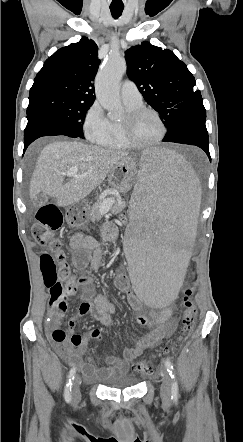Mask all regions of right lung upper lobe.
I'll return each instance as SVG.
<instances>
[{"label": "right lung upper lobe", "mask_w": 243, "mask_h": 442, "mask_svg": "<svg viewBox=\"0 0 243 442\" xmlns=\"http://www.w3.org/2000/svg\"><path fill=\"white\" fill-rule=\"evenodd\" d=\"M97 51L96 43L86 37L57 50L36 75L29 97L56 93L93 104Z\"/></svg>", "instance_id": "1"}]
</instances>
